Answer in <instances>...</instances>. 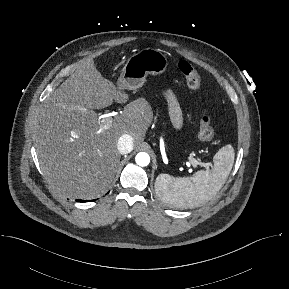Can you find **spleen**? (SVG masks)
Listing matches in <instances>:
<instances>
[{
  "instance_id": "spleen-1",
  "label": "spleen",
  "mask_w": 289,
  "mask_h": 289,
  "mask_svg": "<svg viewBox=\"0 0 289 289\" xmlns=\"http://www.w3.org/2000/svg\"><path fill=\"white\" fill-rule=\"evenodd\" d=\"M234 148L223 146L214 155L211 170H200L191 178H174L160 174L155 181V192L165 203L179 208H194L210 201L225 184L234 163Z\"/></svg>"
}]
</instances>
